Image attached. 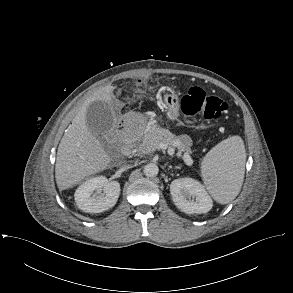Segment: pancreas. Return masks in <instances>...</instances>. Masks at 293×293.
<instances>
[{
  "mask_svg": "<svg viewBox=\"0 0 293 293\" xmlns=\"http://www.w3.org/2000/svg\"><path fill=\"white\" fill-rule=\"evenodd\" d=\"M139 140L142 141L139 144L137 151L142 154H148L154 152L160 143H166L172 145L175 141H180V137H176L168 130L160 127H152L150 129L142 130L140 132ZM180 149L185 154H190L191 150L188 146L180 145Z\"/></svg>",
  "mask_w": 293,
  "mask_h": 293,
  "instance_id": "pancreas-1",
  "label": "pancreas"
}]
</instances>
